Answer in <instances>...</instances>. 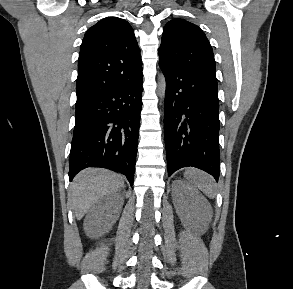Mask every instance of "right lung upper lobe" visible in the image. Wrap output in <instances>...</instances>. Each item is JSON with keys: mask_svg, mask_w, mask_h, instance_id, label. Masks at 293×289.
<instances>
[{"mask_svg": "<svg viewBox=\"0 0 293 289\" xmlns=\"http://www.w3.org/2000/svg\"><path fill=\"white\" fill-rule=\"evenodd\" d=\"M141 76L140 49L132 27L126 20L107 17L89 28L82 41L76 106Z\"/></svg>", "mask_w": 293, "mask_h": 289, "instance_id": "1", "label": "right lung upper lobe"}]
</instances>
